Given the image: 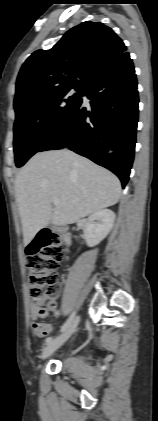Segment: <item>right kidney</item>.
Masks as SVG:
<instances>
[{
	"mask_svg": "<svg viewBox=\"0 0 158 421\" xmlns=\"http://www.w3.org/2000/svg\"><path fill=\"white\" fill-rule=\"evenodd\" d=\"M115 213L102 209L91 214L84 224V239L89 247L99 244L111 231L115 221Z\"/></svg>",
	"mask_w": 158,
	"mask_h": 421,
	"instance_id": "ca27d5eb",
	"label": "right kidney"
}]
</instances>
